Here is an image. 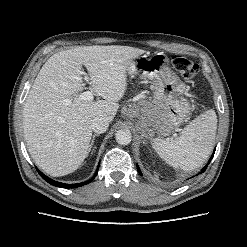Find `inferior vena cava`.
<instances>
[{
  "label": "inferior vena cava",
  "mask_w": 247,
  "mask_h": 247,
  "mask_svg": "<svg viewBox=\"0 0 247 247\" xmlns=\"http://www.w3.org/2000/svg\"><path fill=\"white\" fill-rule=\"evenodd\" d=\"M109 126V122L103 117H96L92 120L91 128L97 134L104 133Z\"/></svg>",
  "instance_id": "inferior-vena-cava-1"
}]
</instances>
